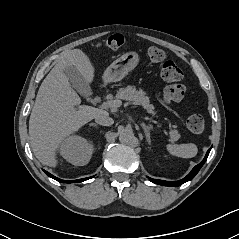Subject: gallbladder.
Masks as SVG:
<instances>
[{
    "label": "gallbladder",
    "instance_id": "obj_1",
    "mask_svg": "<svg viewBox=\"0 0 239 239\" xmlns=\"http://www.w3.org/2000/svg\"><path fill=\"white\" fill-rule=\"evenodd\" d=\"M65 73L73 84V87H75L82 95H86L91 91L89 85L84 81L83 77L74 66L67 67Z\"/></svg>",
    "mask_w": 239,
    "mask_h": 239
}]
</instances>
